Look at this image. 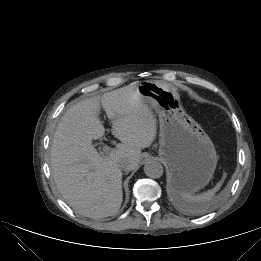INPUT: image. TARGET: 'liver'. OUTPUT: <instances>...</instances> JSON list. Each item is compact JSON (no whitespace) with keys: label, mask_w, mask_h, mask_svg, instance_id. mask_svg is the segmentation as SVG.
<instances>
[{"label":"liver","mask_w":261,"mask_h":261,"mask_svg":"<svg viewBox=\"0 0 261 261\" xmlns=\"http://www.w3.org/2000/svg\"><path fill=\"white\" fill-rule=\"evenodd\" d=\"M139 83L82 100L61 118L52 140L51 171L66 202L87 217H107L122 204V171L127 161L134 169L141 149L156 137V118L138 91ZM104 109L112 134L121 143L102 157L92 145L105 133L99 118Z\"/></svg>","instance_id":"6515ba94"}]
</instances>
